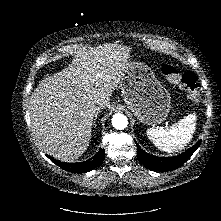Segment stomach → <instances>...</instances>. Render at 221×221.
I'll use <instances>...</instances> for the list:
<instances>
[{
    "label": "stomach",
    "instance_id": "0dacf381",
    "mask_svg": "<svg viewBox=\"0 0 221 221\" xmlns=\"http://www.w3.org/2000/svg\"><path fill=\"white\" fill-rule=\"evenodd\" d=\"M119 85L124 102L141 122L157 125L166 119L170 94L145 63L128 61Z\"/></svg>",
    "mask_w": 221,
    "mask_h": 221
}]
</instances>
